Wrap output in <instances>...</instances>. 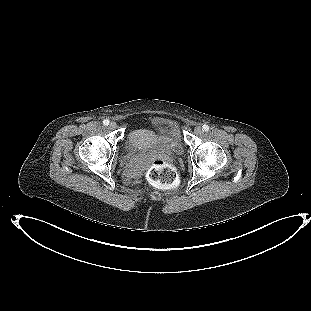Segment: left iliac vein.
Instances as JSON below:
<instances>
[{"mask_svg": "<svg viewBox=\"0 0 311 311\" xmlns=\"http://www.w3.org/2000/svg\"><path fill=\"white\" fill-rule=\"evenodd\" d=\"M194 132L195 134L200 135L203 132L202 127L200 125L196 126Z\"/></svg>", "mask_w": 311, "mask_h": 311, "instance_id": "left-iliac-vein-1", "label": "left iliac vein"}]
</instances>
